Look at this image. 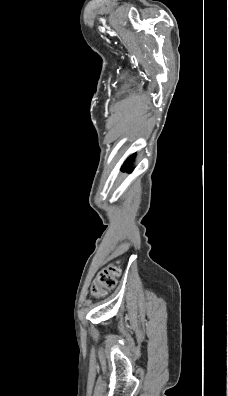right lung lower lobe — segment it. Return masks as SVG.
Returning <instances> with one entry per match:
<instances>
[{
    "mask_svg": "<svg viewBox=\"0 0 228 396\" xmlns=\"http://www.w3.org/2000/svg\"><path fill=\"white\" fill-rule=\"evenodd\" d=\"M133 159H134V155L130 156V157L127 159V161L124 163V165L122 166L121 169H122V170H129V169H130V165H131ZM130 170H131V169H130Z\"/></svg>",
    "mask_w": 228,
    "mask_h": 396,
    "instance_id": "1",
    "label": "right lung lower lobe"
}]
</instances>
